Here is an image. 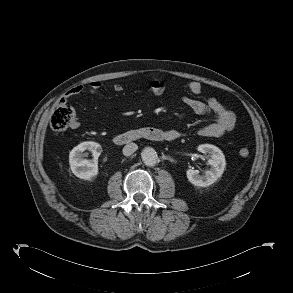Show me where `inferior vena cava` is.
<instances>
[{"mask_svg": "<svg viewBox=\"0 0 293 293\" xmlns=\"http://www.w3.org/2000/svg\"><path fill=\"white\" fill-rule=\"evenodd\" d=\"M138 149L137 144L135 143H129L127 145L124 146L123 148V154L125 156H130L132 155L136 150Z\"/></svg>", "mask_w": 293, "mask_h": 293, "instance_id": "1", "label": "inferior vena cava"}]
</instances>
